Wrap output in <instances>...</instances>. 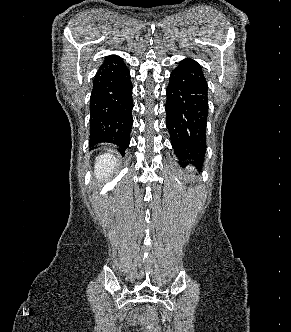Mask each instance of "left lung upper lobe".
Listing matches in <instances>:
<instances>
[{
	"label": "left lung upper lobe",
	"mask_w": 291,
	"mask_h": 332,
	"mask_svg": "<svg viewBox=\"0 0 291 332\" xmlns=\"http://www.w3.org/2000/svg\"><path fill=\"white\" fill-rule=\"evenodd\" d=\"M181 149L184 150L185 152H191V147L189 144H181Z\"/></svg>",
	"instance_id": "left-lung-upper-lobe-1"
}]
</instances>
